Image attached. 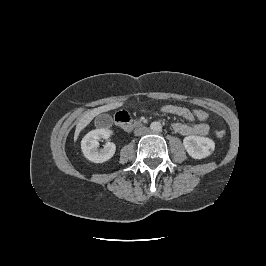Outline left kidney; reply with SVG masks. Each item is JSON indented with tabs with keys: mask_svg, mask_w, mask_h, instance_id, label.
Wrapping results in <instances>:
<instances>
[{
	"mask_svg": "<svg viewBox=\"0 0 266 266\" xmlns=\"http://www.w3.org/2000/svg\"><path fill=\"white\" fill-rule=\"evenodd\" d=\"M183 144L188 154L194 159L206 158L215 149L212 139L201 136H187L184 138Z\"/></svg>",
	"mask_w": 266,
	"mask_h": 266,
	"instance_id": "5707ae66",
	"label": "left kidney"
}]
</instances>
